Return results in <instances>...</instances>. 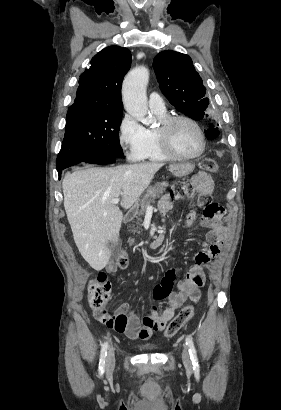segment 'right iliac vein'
I'll return each instance as SVG.
<instances>
[{
	"mask_svg": "<svg viewBox=\"0 0 281 410\" xmlns=\"http://www.w3.org/2000/svg\"><path fill=\"white\" fill-rule=\"evenodd\" d=\"M106 362V372L107 374H111L115 367V353L113 349L109 350Z\"/></svg>",
	"mask_w": 281,
	"mask_h": 410,
	"instance_id": "right-iliac-vein-1",
	"label": "right iliac vein"
}]
</instances>
